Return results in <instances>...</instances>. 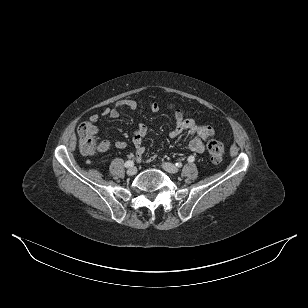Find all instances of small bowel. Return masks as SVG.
Instances as JSON below:
<instances>
[{"mask_svg":"<svg viewBox=\"0 0 308 308\" xmlns=\"http://www.w3.org/2000/svg\"><path fill=\"white\" fill-rule=\"evenodd\" d=\"M127 108L129 110H136L137 103L131 99H123L119 101L114 107L106 108L103 111V116H107L111 119L119 117V110ZM150 108L153 112L158 111V105L156 103H150ZM92 119L98 122V116L93 115ZM187 132L191 137L189 142V148L192 152L201 154L205 150V144L207 140L213 137L214 130L209 125H199L193 119L184 118L180 111L175 113V127L169 132L170 138H176L183 132ZM148 134V127L140 123L132 134V142L136 149V157L138 161L146 160L150 161L153 159V155L149 154L144 146V139ZM115 146L118 149H124L127 147L125 140L115 142ZM111 142L107 139L99 142L97 152H106L110 149Z\"/></svg>","mask_w":308,"mask_h":308,"instance_id":"small-bowel-1","label":"small bowel"}]
</instances>
